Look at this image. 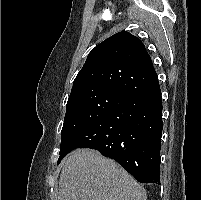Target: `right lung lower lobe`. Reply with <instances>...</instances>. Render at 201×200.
Listing matches in <instances>:
<instances>
[{
	"label": "right lung lower lobe",
	"mask_w": 201,
	"mask_h": 200,
	"mask_svg": "<svg viewBox=\"0 0 201 200\" xmlns=\"http://www.w3.org/2000/svg\"><path fill=\"white\" fill-rule=\"evenodd\" d=\"M162 98L159 84L130 97L122 105L81 130L66 145L92 148L116 160L141 183L160 184Z\"/></svg>",
	"instance_id": "right-lung-lower-lobe-1"
}]
</instances>
